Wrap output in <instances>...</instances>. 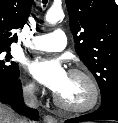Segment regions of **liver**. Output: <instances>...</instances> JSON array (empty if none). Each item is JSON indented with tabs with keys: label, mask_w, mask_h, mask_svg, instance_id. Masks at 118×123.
Returning a JSON list of instances; mask_svg holds the SVG:
<instances>
[{
	"label": "liver",
	"mask_w": 118,
	"mask_h": 123,
	"mask_svg": "<svg viewBox=\"0 0 118 123\" xmlns=\"http://www.w3.org/2000/svg\"><path fill=\"white\" fill-rule=\"evenodd\" d=\"M17 114L8 106L0 103V123H20Z\"/></svg>",
	"instance_id": "6515ba94"
}]
</instances>
